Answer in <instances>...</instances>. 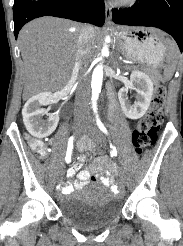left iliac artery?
I'll list each match as a JSON object with an SVG mask.
<instances>
[{"label":"left iliac artery","instance_id":"44dca946","mask_svg":"<svg viewBox=\"0 0 183 246\" xmlns=\"http://www.w3.org/2000/svg\"><path fill=\"white\" fill-rule=\"evenodd\" d=\"M96 113V122H97V125L99 127V129L105 133L106 135H108V131L106 129V127L104 126V124L101 122V120L99 119L98 115H97V111H95ZM111 147V154L113 156H117V150H116V147L114 145H110Z\"/></svg>","mask_w":183,"mask_h":246}]
</instances>
